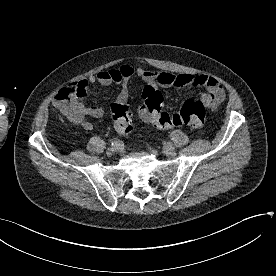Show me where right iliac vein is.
Instances as JSON below:
<instances>
[{
	"label": "right iliac vein",
	"mask_w": 276,
	"mask_h": 276,
	"mask_svg": "<svg viewBox=\"0 0 276 276\" xmlns=\"http://www.w3.org/2000/svg\"><path fill=\"white\" fill-rule=\"evenodd\" d=\"M120 149H121V148H119V147H111V148H108V149H107L106 153H107L108 155H112V154H114L115 152L119 151Z\"/></svg>",
	"instance_id": "obj_1"
}]
</instances>
